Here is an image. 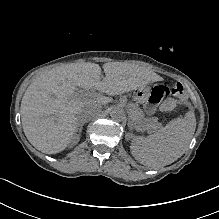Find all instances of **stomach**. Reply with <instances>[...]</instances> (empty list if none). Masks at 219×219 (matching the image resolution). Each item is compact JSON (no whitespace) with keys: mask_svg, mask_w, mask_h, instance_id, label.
<instances>
[{"mask_svg":"<svg viewBox=\"0 0 219 219\" xmlns=\"http://www.w3.org/2000/svg\"><path fill=\"white\" fill-rule=\"evenodd\" d=\"M148 93H149L148 88L141 87V88H138L137 91L135 92V97L139 100H142L147 97Z\"/></svg>","mask_w":219,"mask_h":219,"instance_id":"stomach-1","label":"stomach"}]
</instances>
